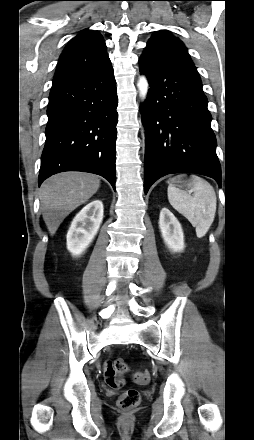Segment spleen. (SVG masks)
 <instances>
[{
  "mask_svg": "<svg viewBox=\"0 0 254 440\" xmlns=\"http://www.w3.org/2000/svg\"><path fill=\"white\" fill-rule=\"evenodd\" d=\"M187 185L194 192L193 195L170 184L168 200L195 227L197 237L202 238L215 218L216 193L208 181L195 175L191 176Z\"/></svg>",
  "mask_w": 254,
  "mask_h": 440,
  "instance_id": "obj_1",
  "label": "spleen"
}]
</instances>
